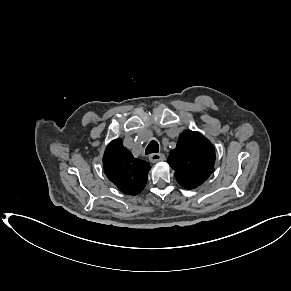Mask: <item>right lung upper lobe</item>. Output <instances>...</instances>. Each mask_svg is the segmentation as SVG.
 Segmentation results:
<instances>
[{"label": "right lung upper lobe", "mask_w": 291, "mask_h": 291, "mask_svg": "<svg viewBox=\"0 0 291 291\" xmlns=\"http://www.w3.org/2000/svg\"><path fill=\"white\" fill-rule=\"evenodd\" d=\"M104 172L121 192L130 195L140 193L147 182L149 163L136 159L126 149L121 139L113 140L103 156Z\"/></svg>", "instance_id": "obj_1"}]
</instances>
